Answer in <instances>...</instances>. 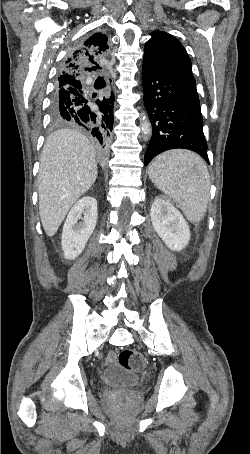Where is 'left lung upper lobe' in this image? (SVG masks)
Returning <instances> with one entry per match:
<instances>
[{
  "instance_id": "5c2ea615",
  "label": "left lung upper lobe",
  "mask_w": 250,
  "mask_h": 454,
  "mask_svg": "<svg viewBox=\"0 0 250 454\" xmlns=\"http://www.w3.org/2000/svg\"><path fill=\"white\" fill-rule=\"evenodd\" d=\"M143 59L168 70L191 73V60L186 50L175 37L166 32L152 33L151 39L145 44Z\"/></svg>"
}]
</instances>
